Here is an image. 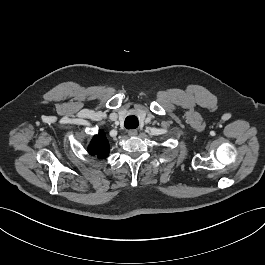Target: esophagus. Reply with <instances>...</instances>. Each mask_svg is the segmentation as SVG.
<instances>
[{"label":"esophagus","instance_id":"34e87169","mask_svg":"<svg viewBox=\"0 0 265 265\" xmlns=\"http://www.w3.org/2000/svg\"><path fill=\"white\" fill-rule=\"evenodd\" d=\"M138 134V131L136 129H131L128 131V135L130 137H135Z\"/></svg>","mask_w":265,"mask_h":265}]
</instances>
